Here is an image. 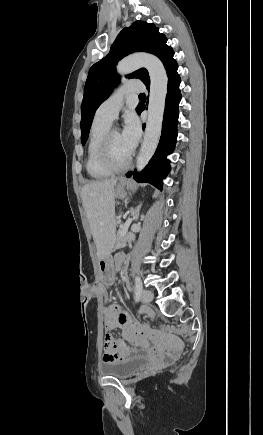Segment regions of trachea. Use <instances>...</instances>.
<instances>
[{
    "label": "trachea",
    "instance_id": "obj_1",
    "mask_svg": "<svg viewBox=\"0 0 263 435\" xmlns=\"http://www.w3.org/2000/svg\"><path fill=\"white\" fill-rule=\"evenodd\" d=\"M139 96H140V97H145V94H140Z\"/></svg>",
    "mask_w": 263,
    "mask_h": 435
}]
</instances>
